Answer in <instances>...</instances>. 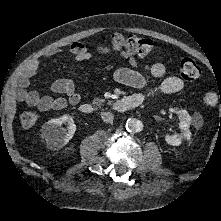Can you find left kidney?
Instances as JSON below:
<instances>
[{
	"label": "left kidney",
	"mask_w": 221,
	"mask_h": 221,
	"mask_svg": "<svg viewBox=\"0 0 221 221\" xmlns=\"http://www.w3.org/2000/svg\"><path fill=\"white\" fill-rule=\"evenodd\" d=\"M170 111L177 114L181 133H175L171 136L166 135L165 141L169 145L179 146L182 143L183 139L187 141L191 139L192 133L189 129L191 124V117L186 110L171 109Z\"/></svg>",
	"instance_id": "obj_1"
}]
</instances>
